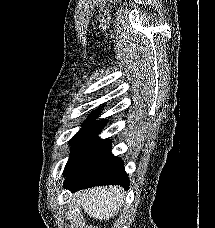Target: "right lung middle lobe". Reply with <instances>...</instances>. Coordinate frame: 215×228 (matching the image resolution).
<instances>
[{"label": "right lung middle lobe", "instance_id": "1", "mask_svg": "<svg viewBox=\"0 0 215 228\" xmlns=\"http://www.w3.org/2000/svg\"><path fill=\"white\" fill-rule=\"evenodd\" d=\"M104 126L105 122L86 124L71 139V154L63 172L64 177L69 176L111 143L110 139L98 137Z\"/></svg>", "mask_w": 215, "mask_h": 228}]
</instances>
